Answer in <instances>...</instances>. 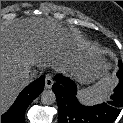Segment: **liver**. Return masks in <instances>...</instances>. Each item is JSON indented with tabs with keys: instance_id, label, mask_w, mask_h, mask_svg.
Instances as JSON below:
<instances>
[{
	"instance_id": "1",
	"label": "liver",
	"mask_w": 123,
	"mask_h": 123,
	"mask_svg": "<svg viewBox=\"0 0 123 123\" xmlns=\"http://www.w3.org/2000/svg\"><path fill=\"white\" fill-rule=\"evenodd\" d=\"M96 53L57 21L31 17L1 26V114L29 84L23 78L25 71L51 67L89 83L98 76Z\"/></svg>"
}]
</instances>
